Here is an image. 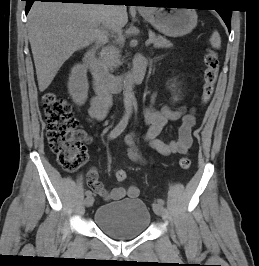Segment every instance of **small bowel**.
Here are the masks:
<instances>
[{"label": "small bowel", "mask_w": 259, "mask_h": 266, "mask_svg": "<svg viewBox=\"0 0 259 266\" xmlns=\"http://www.w3.org/2000/svg\"><path fill=\"white\" fill-rule=\"evenodd\" d=\"M111 106V98L105 91L96 89V95L92 98L88 111L90 121H101L107 115ZM181 120L182 124L178 129V137L175 140L165 143L158 139V136L170 121ZM195 110L187 109L185 105H180L175 109L168 106L155 108L147 106L143 113V123L147 125L148 132L143 137L150 146L163 155L185 154L192 145V128L195 125ZM129 148V155L135 161H141V156L135 145L134 135H129L126 139ZM87 184L92 191L99 194L105 201H117L125 196L136 198L139 189L135 185L127 188L116 187L112 190H105L99 181L96 169H91L87 174Z\"/></svg>", "instance_id": "obj_1"}]
</instances>
